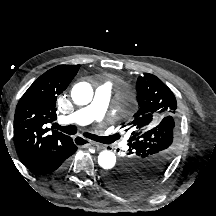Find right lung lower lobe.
Wrapping results in <instances>:
<instances>
[{
	"instance_id": "obj_1",
	"label": "right lung lower lobe",
	"mask_w": 216,
	"mask_h": 216,
	"mask_svg": "<svg viewBox=\"0 0 216 216\" xmlns=\"http://www.w3.org/2000/svg\"><path fill=\"white\" fill-rule=\"evenodd\" d=\"M77 150L72 139L68 144L58 147L52 151L43 160L36 165L28 168L31 172L36 175H50L60 169H62L66 163V160L73 155Z\"/></svg>"
}]
</instances>
